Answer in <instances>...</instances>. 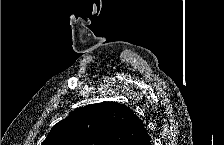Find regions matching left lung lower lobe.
I'll return each mask as SVG.
<instances>
[{
  "label": "left lung lower lobe",
  "mask_w": 224,
  "mask_h": 145,
  "mask_svg": "<svg viewBox=\"0 0 224 145\" xmlns=\"http://www.w3.org/2000/svg\"><path fill=\"white\" fill-rule=\"evenodd\" d=\"M135 145H151L150 138L146 129L142 131Z\"/></svg>",
  "instance_id": "1"
}]
</instances>
